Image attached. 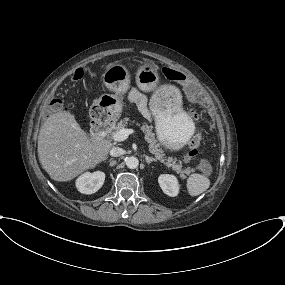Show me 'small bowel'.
Masks as SVG:
<instances>
[{
	"mask_svg": "<svg viewBox=\"0 0 285 285\" xmlns=\"http://www.w3.org/2000/svg\"><path fill=\"white\" fill-rule=\"evenodd\" d=\"M129 99L136 103L138 106H141L142 102H143V96L137 92V91H131L129 93Z\"/></svg>",
	"mask_w": 285,
	"mask_h": 285,
	"instance_id": "1",
	"label": "small bowel"
}]
</instances>
